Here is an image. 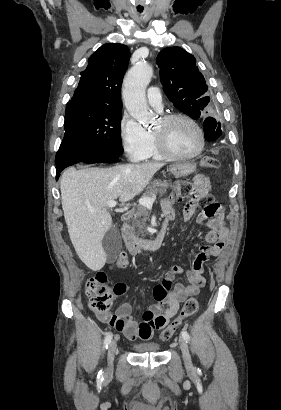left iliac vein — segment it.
I'll return each instance as SVG.
<instances>
[{
	"instance_id": "left-iliac-vein-1",
	"label": "left iliac vein",
	"mask_w": 281,
	"mask_h": 410,
	"mask_svg": "<svg viewBox=\"0 0 281 410\" xmlns=\"http://www.w3.org/2000/svg\"><path fill=\"white\" fill-rule=\"evenodd\" d=\"M179 346L182 352L183 361L188 370L193 369V364L189 354L188 345L183 337H179Z\"/></svg>"
}]
</instances>
